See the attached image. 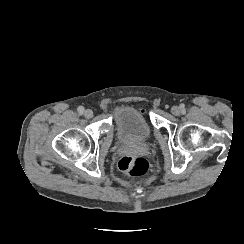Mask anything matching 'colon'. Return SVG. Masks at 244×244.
I'll list each match as a JSON object with an SVG mask.
<instances>
[{
    "instance_id": "1",
    "label": "colon",
    "mask_w": 244,
    "mask_h": 244,
    "mask_svg": "<svg viewBox=\"0 0 244 244\" xmlns=\"http://www.w3.org/2000/svg\"><path fill=\"white\" fill-rule=\"evenodd\" d=\"M119 168L124 173L143 176L149 171L150 163L143 156L127 155L120 159Z\"/></svg>"
}]
</instances>
